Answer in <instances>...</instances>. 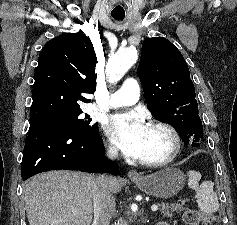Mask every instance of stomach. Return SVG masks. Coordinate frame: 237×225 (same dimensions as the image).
Here are the masks:
<instances>
[{"label": "stomach", "mask_w": 237, "mask_h": 225, "mask_svg": "<svg viewBox=\"0 0 237 225\" xmlns=\"http://www.w3.org/2000/svg\"><path fill=\"white\" fill-rule=\"evenodd\" d=\"M185 175L174 167H167L133 182L146 194L158 198H170L176 195L185 184Z\"/></svg>", "instance_id": "0dacf381"}]
</instances>
